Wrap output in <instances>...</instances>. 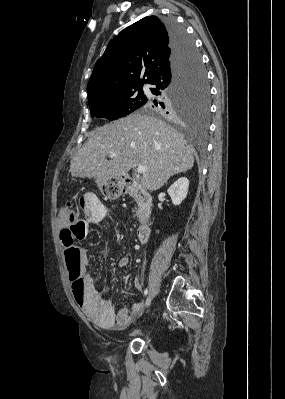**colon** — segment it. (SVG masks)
<instances>
[{
    "mask_svg": "<svg viewBox=\"0 0 285 399\" xmlns=\"http://www.w3.org/2000/svg\"><path fill=\"white\" fill-rule=\"evenodd\" d=\"M104 195H109L107 190L103 191ZM84 198L80 200L77 206H74L70 202H66L60 206L59 209V221L63 223L60 229V241L63 248V253L66 260L71 265V271L69 279L71 288H73L76 294H80L84 291V282L80 277L79 273V250L76 246L77 241L82 238L79 230V207L81 208L84 204Z\"/></svg>",
    "mask_w": 285,
    "mask_h": 399,
    "instance_id": "colon-1",
    "label": "colon"
}]
</instances>
